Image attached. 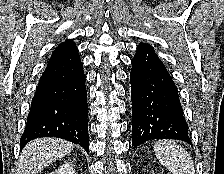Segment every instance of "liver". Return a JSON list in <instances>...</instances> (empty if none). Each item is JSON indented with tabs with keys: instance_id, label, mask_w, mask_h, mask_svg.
Instances as JSON below:
<instances>
[{
	"instance_id": "obj_1",
	"label": "liver",
	"mask_w": 224,
	"mask_h": 174,
	"mask_svg": "<svg viewBox=\"0 0 224 174\" xmlns=\"http://www.w3.org/2000/svg\"><path fill=\"white\" fill-rule=\"evenodd\" d=\"M73 144L58 138L45 137L29 142L18 160L17 174H38L56 159L71 152Z\"/></svg>"
}]
</instances>
